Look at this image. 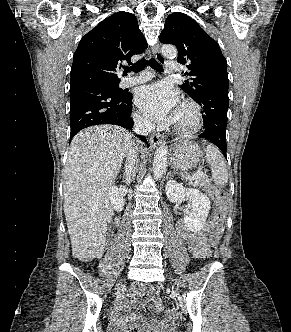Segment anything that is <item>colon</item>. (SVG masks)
Masks as SVG:
<instances>
[{"label":"colon","mask_w":291,"mask_h":332,"mask_svg":"<svg viewBox=\"0 0 291 332\" xmlns=\"http://www.w3.org/2000/svg\"><path fill=\"white\" fill-rule=\"evenodd\" d=\"M209 192L213 195V197L216 199L217 205L214 213V220L217 227H221L224 219L225 214L227 210V199L226 195L222 190H220L217 187H211L209 189ZM207 256L209 259H216L218 257V247H217V237L211 236L210 237V244L208 247V253ZM130 332H138V328L136 326L130 327Z\"/></svg>","instance_id":"5ec220e1"}]
</instances>
